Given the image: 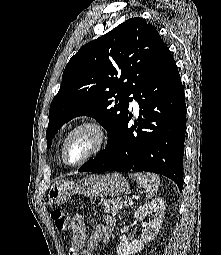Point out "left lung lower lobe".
I'll list each match as a JSON object with an SVG mask.
<instances>
[{
	"label": "left lung lower lobe",
	"instance_id": "1",
	"mask_svg": "<svg viewBox=\"0 0 221 255\" xmlns=\"http://www.w3.org/2000/svg\"><path fill=\"white\" fill-rule=\"evenodd\" d=\"M135 99L140 107L138 122L130 125L128 113L107 146L79 172L148 171L172 179L182 190L186 104L181 78L170 51Z\"/></svg>",
	"mask_w": 221,
	"mask_h": 255
}]
</instances>
